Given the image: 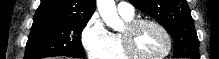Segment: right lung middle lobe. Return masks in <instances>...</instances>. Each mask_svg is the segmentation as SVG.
Here are the masks:
<instances>
[{"label": "right lung middle lobe", "mask_w": 219, "mask_h": 59, "mask_svg": "<svg viewBox=\"0 0 219 59\" xmlns=\"http://www.w3.org/2000/svg\"><path fill=\"white\" fill-rule=\"evenodd\" d=\"M88 21L89 18L34 16L24 59L52 56L85 58L81 33Z\"/></svg>", "instance_id": "right-lung-middle-lobe-1"}]
</instances>
